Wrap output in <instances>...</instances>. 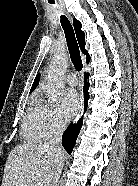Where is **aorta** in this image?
Here are the masks:
<instances>
[{
    "mask_svg": "<svg viewBox=\"0 0 138 186\" xmlns=\"http://www.w3.org/2000/svg\"><path fill=\"white\" fill-rule=\"evenodd\" d=\"M68 57L64 52L53 56L47 72V94L56 102L65 87L64 75L67 70Z\"/></svg>",
    "mask_w": 138,
    "mask_h": 186,
    "instance_id": "1",
    "label": "aorta"
}]
</instances>
